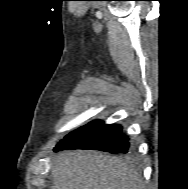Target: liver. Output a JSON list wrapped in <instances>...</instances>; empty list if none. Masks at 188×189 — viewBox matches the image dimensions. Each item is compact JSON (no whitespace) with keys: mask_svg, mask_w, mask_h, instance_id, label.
<instances>
[{"mask_svg":"<svg viewBox=\"0 0 188 189\" xmlns=\"http://www.w3.org/2000/svg\"><path fill=\"white\" fill-rule=\"evenodd\" d=\"M51 189H144L141 175L123 160L88 150L55 157Z\"/></svg>","mask_w":188,"mask_h":189,"instance_id":"obj_1","label":"liver"}]
</instances>
